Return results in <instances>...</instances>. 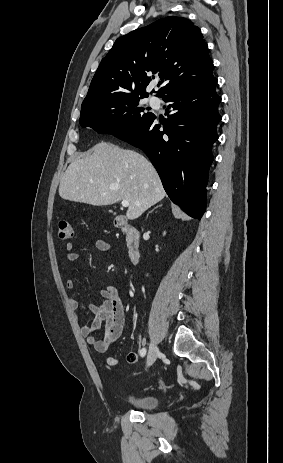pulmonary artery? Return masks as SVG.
<instances>
[{
    "label": "pulmonary artery",
    "mask_w": 283,
    "mask_h": 463,
    "mask_svg": "<svg viewBox=\"0 0 283 463\" xmlns=\"http://www.w3.org/2000/svg\"><path fill=\"white\" fill-rule=\"evenodd\" d=\"M150 103H151L152 105H157V104H158V99H157V98H151V99H150Z\"/></svg>",
    "instance_id": "e3ab8cb5"
}]
</instances>
